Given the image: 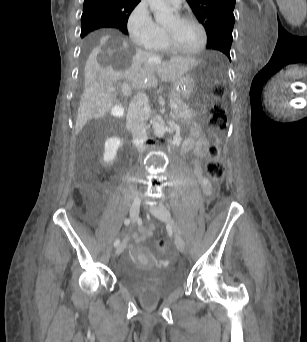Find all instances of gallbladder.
Returning a JSON list of instances; mask_svg holds the SVG:
<instances>
[{
	"label": "gallbladder",
	"instance_id": "1",
	"mask_svg": "<svg viewBox=\"0 0 307 342\" xmlns=\"http://www.w3.org/2000/svg\"><path fill=\"white\" fill-rule=\"evenodd\" d=\"M122 109H123V104L122 103H115L114 108H113V113L112 116L116 118H121L122 117Z\"/></svg>",
	"mask_w": 307,
	"mask_h": 342
}]
</instances>
